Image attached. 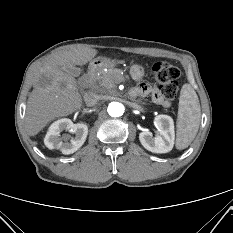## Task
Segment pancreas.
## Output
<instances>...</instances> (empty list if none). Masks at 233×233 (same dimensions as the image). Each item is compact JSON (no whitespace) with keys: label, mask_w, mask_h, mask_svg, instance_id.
Segmentation results:
<instances>
[{"label":"pancreas","mask_w":233,"mask_h":233,"mask_svg":"<svg viewBox=\"0 0 233 233\" xmlns=\"http://www.w3.org/2000/svg\"><path fill=\"white\" fill-rule=\"evenodd\" d=\"M108 70L102 71L97 77V83L100 89L104 92L113 90L117 83L123 80V75L120 69L107 66Z\"/></svg>","instance_id":"1"}]
</instances>
